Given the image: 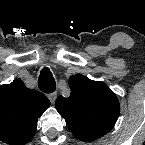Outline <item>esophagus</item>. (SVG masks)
Wrapping results in <instances>:
<instances>
[{
	"label": "esophagus",
	"instance_id": "esophagus-1",
	"mask_svg": "<svg viewBox=\"0 0 145 145\" xmlns=\"http://www.w3.org/2000/svg\"><path fill=\"white\" fill-rule=\"evenodd\" d=\"M56 97H57L56 93H52L48 95V98L50 99L51 103L55 102Z\"/></svg>",
	"mask_w": 145,
	"mask_h": 145
}]
</instances>
